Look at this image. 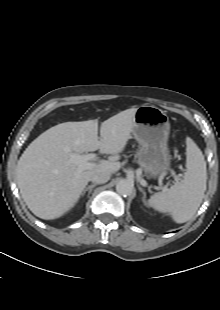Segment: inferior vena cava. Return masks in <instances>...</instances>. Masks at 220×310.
Here are the masks:
<instances>
[{
  "label": "inferior vena cava",
  "instance_id": "obj_1",
  "mask_svg": "<svg viewBox=\"0 0 220 310\" xmlns=\"http://www.w3.org/2000/svg\"><path fill=\"white\" fill-rule=\"evenodd\" d=\"M110 179V174L108 172L95 173L90 177V181L95 184L106 183Z\"/></svg>",
  "mask_w": 220,
  "mask_h": 310
}]
</instances>
